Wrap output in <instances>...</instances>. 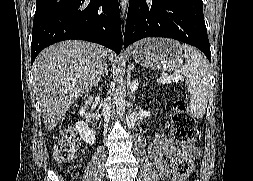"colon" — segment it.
<instances>
[{
  "instance_id": "colon-1",
  "label": "colon",
  "mask_w": 253,
  "mask_h": 181,
  "mask_svg": "<svg viewBox=\"0 0 253 181\" xmlns=\"http://www.w3.org/2000/svg\"><path fill=\"white\" fill-rule=\"evenodd\" d=\"M174 138L179 143L190 147L198 139L196 120L188 113L186 102L182 99L174 103L171 116ZM69 135V131L67 132ZM74 143L71 139H62L55 147V156L60 161H68L74 154ZM193 168L189 157H182L176 164L173 181H184Z\"/></svg>"
}]
</instances>
